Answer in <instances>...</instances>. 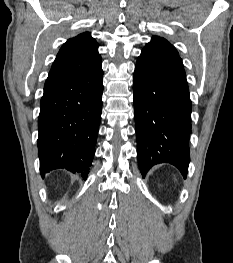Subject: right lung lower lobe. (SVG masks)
<instances>
[{
  "instance_id": "98d812e1",
  "label": "right lung lower lobe",
  "mask_w": 233,
  "mask_h": 263,
  "mask_svg": "<svg viewBox=\"0 0 233 263\" xmlns=\"http://www.w3.org/2000/svg\"><path fill=\"white\" fill-rule=\"evenodd\" d=\"M101 59L85 74L49 75L41 98L37 141L40 173L65 168L86 179L101 121Z\"/></svg>"
}]
</instances>
